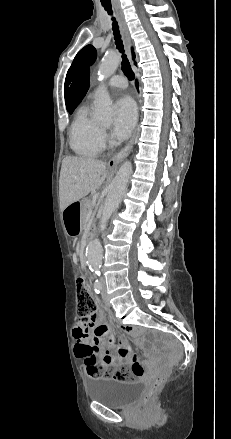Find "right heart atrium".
Segmentation results:
<instances>
[{"label":"right heart atrium","instance_id":"right-heart-atrium-1","mask_svg":"<svg viewBox=\"0 0 231 439\" xmlns=\"http://www.w3.org/2000/svg\"><path fill=\"white\" fill-rule=\"evenodd\" d=\"M100 137H101L102 144H105L108 140L107 133L105 130H101Z\"/></svg>","mask_w":231,"mask_h":439}]
</instances>
